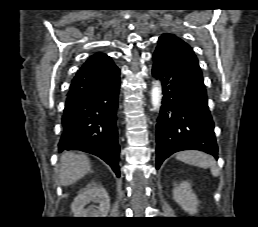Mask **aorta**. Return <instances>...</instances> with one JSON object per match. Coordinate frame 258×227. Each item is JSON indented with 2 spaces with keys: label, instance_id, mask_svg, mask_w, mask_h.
I'll return each instance as SVG.
<instances>
[{
  "label": "aorta",
  "instance_id": "1",
  "mask_svg": "<svg viewBox=\"0 0 258 227\" xmlns=\"http://www.w3.org/2000/svg\"><path fill=\"white\" fill-rule=\"evenodd\" d=\"M161 86L159 82H154L151 91V102L155 110H159L161 106Z\"/></svg>",
  "mask_w": 258,
  "mask_h": 227
}]
</instances>
